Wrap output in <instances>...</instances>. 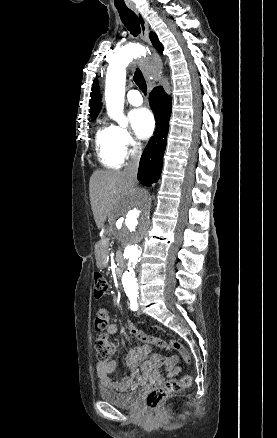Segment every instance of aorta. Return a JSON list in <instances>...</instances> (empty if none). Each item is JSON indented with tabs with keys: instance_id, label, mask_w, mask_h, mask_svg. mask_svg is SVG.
<instances>
[{
	"instance_id": "obj_1",
	"label": "aorta",
	"mask_w": 277,
	"mask_h": 438,
	"mask_svg": "<svg viewBox=\"0 0 277 438\" xmlns=\"http://www.w3.org/2000/svg\"><path fill=\"white\" fill-rule=\"evenodd\" d=\"M146 50L139 44H128L116 53L107 69L105 101L108 115L119 125L126 126L123 114L126 67L136 58L144 55ZM150 195L145 189H135L126 194L115 206L111 215V229L114 239L123 251L127 270L122 276L126 294L138 292L135 276L142 254V243L151 227Z\"/></svg>"
}]
</instances>
